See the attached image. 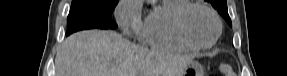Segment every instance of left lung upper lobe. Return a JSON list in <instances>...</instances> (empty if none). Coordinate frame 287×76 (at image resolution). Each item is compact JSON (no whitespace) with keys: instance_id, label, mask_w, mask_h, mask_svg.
I'll list each match as a JSON object with an SVG mask.
<instances>
[{"instance_id":"5c2ea615","label":"left lung upper lobe","mask_w":287,"mask_h":76,"mask_svg":"<svg viewBox=\"0 0 287 76\" xmlns=\"http://www.w3.org/2000/svg\"><path fill=\"white\" fill-rule=\"evenodd\" d=\"M207 2H210L214 8L217 9V11L224 17L226 22L232 26L231 19L227 12V3L226 0H206Z\"/></svg>"}]
</instances>
